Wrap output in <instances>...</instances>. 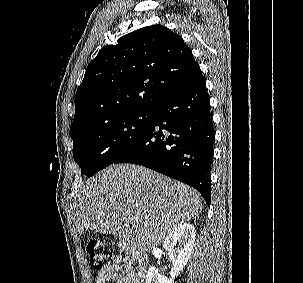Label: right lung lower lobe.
Returning <instances> with one entry per match:
<instances>
[{
	"label": "right lung lower lobe",
	"mask_w": 303,
	"mask_h": 283,
	"mask_svg": "<svg viewBox=\"0 0 303 283\" xmlns=\"http://www.w3.org/2000/svg\"><path fill=\"white\" fill-rule=\"evenodd\" d=\"M138 141L114 164H138L197 189L210 205L214 129L202 76L150 110Z\"/></svg>",
	"instance_id": "obj_1"
}]
</instances>
